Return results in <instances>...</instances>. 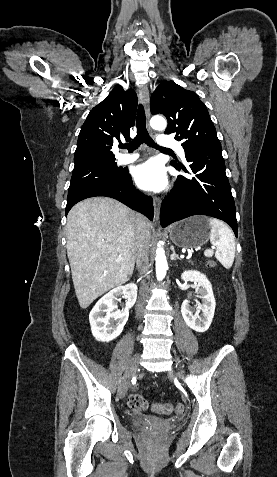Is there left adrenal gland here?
<instances>
[{
	"label": "left adrenal gland",
	"mask_w": 277,
	"mask_h": 477,
	"mask_svg": "<svg viewBox=\"0 0 277 477\" xmlns=\"http://www.w3.org/2000/svg\"><path fill=\"white\" fill-rule=\"evenodd\" d=\"M171 250H172V255H171L170 259H171V260H176V259L181 260V259L179 258V256L175 253V250H174V247H173V246H171Z\"/></svg>",
	"instance_id": "a2214340"
}]
</instances>
